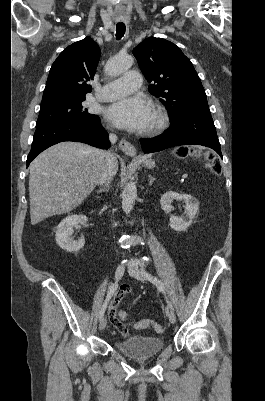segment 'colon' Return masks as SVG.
I'll list each match as a JSON object with an SVG mask.
<instances>
[{
	"label": "colon",
	"instance_id": "colon-1",
	"mask_svg": "<svg viewBox=\"0 0 265 401\" xmlns=\"http://www.w3.org/2000/svg\"><path fill=\"white\" fill-rule=\"evenodd\" d=\"M176 156L179 158H186L189 155H194L196 154L195 150H192L190 148H179L175 152ZM206 159L210 162V170L214 174H219L221 171L220 164L216 161L215 157L212 154H207ZM109 318L112 323V325L119 330V332L123 336H128V330L125 327V325L122 323L123 320L128 319V314L124 310H115L112 313H109ZM134 327L136 329H145L148 327H151L156 331L157 333H161L163 331V327L154 321L151 320H138L134 322Z\"/></svg>",
	"mask_w": 265,
	"mask_h": 401
}]
</instances>
